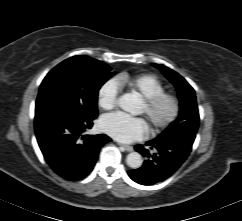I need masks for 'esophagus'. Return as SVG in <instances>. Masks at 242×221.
<instances>
[{
	"label": "esophagus",
	"mask_w": 242,
	"mask_h": 221,
	"mask_svg": "<svg viewBox=\"0 0 242 221\" xmlns=\"http://www.w3.org/2000/svg\"><path fill=\"white\" fill-rule=\"evenodd\" d=\"M120 147L123 148L127 152H132L134 150L133 147L129 146V145H121L120 144Z\"/></svg>",
	"instance_id": "34e87169"
}]
</instances>
